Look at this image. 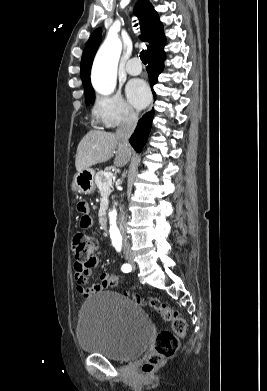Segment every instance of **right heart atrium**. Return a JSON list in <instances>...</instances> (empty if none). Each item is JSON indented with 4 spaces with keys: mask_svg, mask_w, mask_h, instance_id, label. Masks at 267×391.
I'll return each mask as SVG.
<instances>
[{
    "mask_svg": "<svg viewBox=\"0 0 267 391\" xmlns=\"http://www.w3.org/2000/svg\"><path fill=\"white\" fill-rule=\"evenodd\" d=\"M92 116L97 124L105 128L130 125L138 118L137 112L120 94L98 96Z\"/></svg>",
    "mask_w": 267,
    "mask_h": 391,
    "instance_id": "d8ad5b80",
    "label": "right heart atrium"
}]
</instances>
